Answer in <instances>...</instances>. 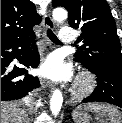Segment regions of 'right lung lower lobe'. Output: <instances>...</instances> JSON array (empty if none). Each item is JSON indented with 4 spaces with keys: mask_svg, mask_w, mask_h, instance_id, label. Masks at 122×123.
Masks as SVG:
<instances>
[{
    "mask_svg": "<svg viewBox=\"0 0 122 123\" xmlns=\"http://www.w3.org/2000/svg\"><path fill=\"white\" fill-rule=\"evenodd\" d=\"M31 39L1 41V100L3 101L22 99L40 86L37 77L29 75L26 69L11 64L13 59H18L28 68L38 66L40 58L37 48L32 52L28 50Z\"/></svg>",
    "mask_w": 122,
    "mask_h": 123,
    "instance_id": "98d812e1",
    "label": "right lung lower lobe"
}]
</instances>
